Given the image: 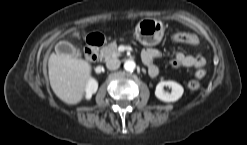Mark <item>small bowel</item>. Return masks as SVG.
<instances>
[{
	"label": "small bowel",
	"mask_w": 247,
	"mask_h": 145,
	"mask_svg": "<svg viewBox=\"0 0 247 145\" xmlns=\"http://www.w3.org/2000/svg\"><path fill=\"white\" fill-rule=\"evenodd\" d=\"M181 34L185 37L180 42H185L191 45H197L199 43V38L197 35L193 33L181 32ZM159 50L155 48H147L142 53V59L144 63L148 66V70L151 76L155 77L159 74L158 68L154 65L153 60L160 57ZM206 64L205 57L200 54H184L182 52H176L173 54L171 59V66L174 68L178 67H186V68H195L197 71L203 69ZM151 67L155 69L153 71L150 70ZM196 71V72H197Z\"/></svg>",
	"instance_id": "c3829d8e"
}]
</instances>
